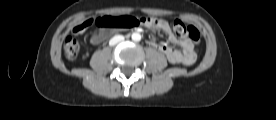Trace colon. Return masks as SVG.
Instances as JSON below:
<instances>
[{"mask_svg": "<svg viewBox=\"0 0 276 120\" xmlns=\"http://www.w3.org/2000/svg\"><path fill=\"white\" fill-rule=\"evenodd\" d=\"M156 18L152 17H142L140 19H136L131 16H103L97 18L95 21L86 20L83 23L76 26V30L78 32L85 31L93 22L96 25L103 29H128L138 25L139 22L143 24L154 23L156 22ZM173 30L177 37L180 38H188L191 42L196 45L200 42V34L199 31L193 27L188 26L181 22L180 20H175L173 22ZM80 46L79 42L74 37H68L64 43V53L68 59H75L79 54Z\"/></svg>", "mask_w": 276, "mask_h": 120, "instance_id": "5ec220e1", "label": "colon"}]
</instances>
